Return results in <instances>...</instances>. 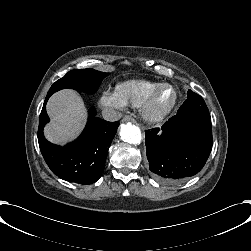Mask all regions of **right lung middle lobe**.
<instances>
[{
	"label": "right lung middle lobe",
	"mask_w": 251,
	"mask_h": 251,
	"mask_svg": "<svg viewBox=\"0 0 251 251\" xmlns=\"http://www.w3.org/2000/svg\"><path fill=\"white\" fill-rule=\"evenodd\" d=\"M109 73L100 72L95 69H77L69 71L63 78L57 80L49 89L46 99L53 93L65 88H71L93 94L98 89L101 81Z\"/></svg>",
	"instance_id": "right-lung-middle-lobe-1"
}]
</instances>
